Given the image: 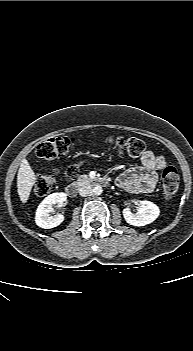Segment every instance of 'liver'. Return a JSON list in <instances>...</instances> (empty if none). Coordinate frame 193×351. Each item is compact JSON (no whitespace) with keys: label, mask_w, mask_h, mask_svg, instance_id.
Returning <instances> with one entry per match:
<instances>
[{"label":"liver","mask_w":193,"mask_h":351,"mask_svg":"<svg viewBox=\"0 0 193 351\" xmlns=\"http://www.w3.org/2000/svg\"><path fill=\"white\" fill-rule=\"evenodd\" d=\"M35 173L27 159H23L17 174V192L22 203H26L35 183Z\"/></svg>","instance_id":"liver-1"}]
</instances>
